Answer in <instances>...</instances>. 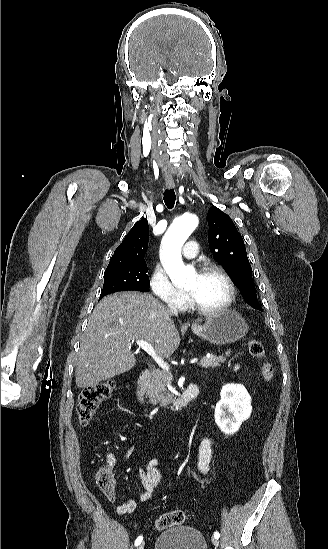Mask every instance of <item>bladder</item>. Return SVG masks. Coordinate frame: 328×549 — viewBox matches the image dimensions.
I'll return each mask as SVG.
<instances>
[{"mask_svg":"<svg viewBox=\"0 0 328 549\" xmlns=\"http://www.w3.org/2000/svg\"><path fill=\"white\" fill-rule=\"evenodd\" d=\"M155 549H207L206 541L197 528L176 526L163 531L155 542Z\"/></svg>","mask_w":328,"mask_h":549,"instance_id":"obj_1","label":"bladder"}]
</instances>
